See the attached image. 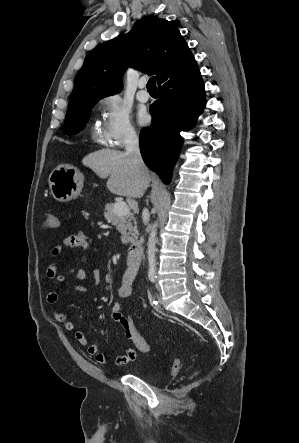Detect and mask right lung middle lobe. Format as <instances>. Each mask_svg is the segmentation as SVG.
Returning <instances> with one entry per match:
<instances>
[{"label":"right lung middle lobe","mask_w":299,"mask_h":443,"mask_svg":"<svg viewBox=\"0 0 299 443\" xmlns=\"http://www.w3.org/2000/svg\"><path fill=\"white\" fill-rule=\"evenodd\" d=\"M99 100L88 101L74 107L68 108L64 123V133L67 135L76 134L87 123L91 108Z\"/></svg>","instance_id":"1"}]
</instances>
